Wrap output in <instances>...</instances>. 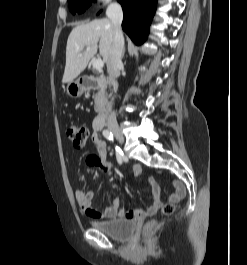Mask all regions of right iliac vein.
Returning <instances> with one entry per match:
<instances>
[{
    "instance_id": "right-iliac-vein-1",
    "label": "right iliac vein",
    "mask_w": 247,
    "mask_h": 265,
    "mask_svg": "<svg viewBox=\"0 0 247 265\" xmlns=\"http://www.w3.org/2000/svg\"><path fill=\"white\" fill-rule=\"evenodd\" d=\"M110 131L114 134V136L117 138V140L120 143H123L124 137H123V134H122L121 130L119 129V127L113 126L110 128Z\"/></svg>"
}]
</instances>
